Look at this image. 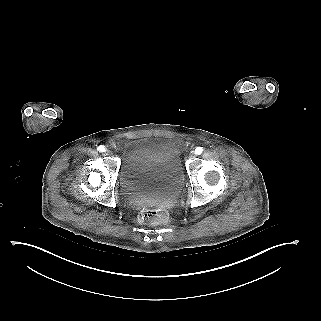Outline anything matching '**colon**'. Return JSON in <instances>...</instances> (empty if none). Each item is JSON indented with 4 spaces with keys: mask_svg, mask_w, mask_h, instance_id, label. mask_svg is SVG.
Here are the masks:
<instances>
[{
    "mask_svg": "<svg viewBox=\"0 0 321 321\" xmlns=\"http://www.w3.org/2000/svg\"><path fill=\"white\" fill-rule=\"evenodd\" d=\"M168 219V213L163 208L144 209L139 214V220L144 224H161Z\"/></svg>",
    "mask_w": 321,
    "mask_h": 321,
    "instance_id": "1",
    "label": "colon"
}]
</instances>
